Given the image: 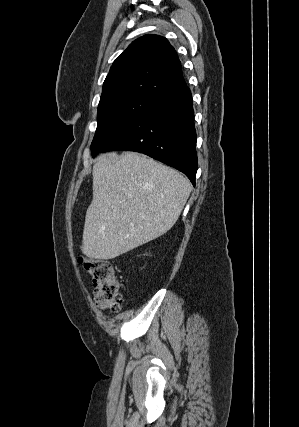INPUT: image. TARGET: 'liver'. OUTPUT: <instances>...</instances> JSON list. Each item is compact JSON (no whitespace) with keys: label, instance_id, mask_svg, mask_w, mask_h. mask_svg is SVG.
<instances>
[{"label":"liver","instance_id":"1","mask_svg":"<svg viewBox=\"0 0 299 427\" xmlns=\"http://www.w3.org/2000/svg\"><path fill=\"white\" fill-rule=\"evenodd\" d=\"M82 253L113 259L166 233L190 195L178 171L137 152L102 154L93 165Z\"/></svg>","mask_w":299,"mask_h":427}]
</instances>
